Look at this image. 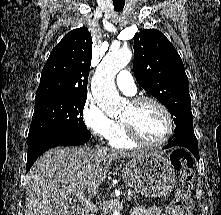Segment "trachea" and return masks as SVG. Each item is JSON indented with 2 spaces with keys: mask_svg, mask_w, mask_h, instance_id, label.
<instances>
[{
  "mask_svg": "<svg viewBox=\"0 0 221 215\" xmlns=\"http://www.w3.org/2000/svg\"><path fill=\"white\" fill-rule=\"evenodd\" d=\"M113 5L116 12H120L124 8V3L123 4L113 3Z\"/></svg>",
  "mask_w": 221,
  "mask_h": 215,
  "instance_id": "trachea-1",
  "label": "trachea"
}]
</instances>
